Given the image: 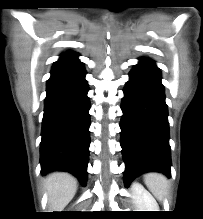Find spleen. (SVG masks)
Here are the masks:
<instances>
[{
    "instance_id": "3e777b00",
    "label": "spleen",
    "mask_w": 203,
    "mask_h": 219,
    "mask_svg": "<svg viewBox=\"0 0 203 219\" xmlns=\"http://www.w3.org/2000/svg\"><path fill=\"white\" fill-rule=\"evenodd\" d=\"M144 182L158 200L164 199L168 190V181L165 176L159 173H148L144 177Z\"/></svg>"
}]
</instances>
